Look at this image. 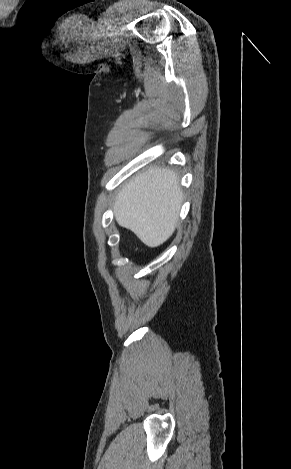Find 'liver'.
<instances>
[{
    "label": "liver",
    "mask_w": 291,
    "mask_h": 469,
    "mask_svg": "<svg viewBox=\"0 0 291 469\" xmlns=\"http://www.w3.org/2000/svg\"><path fill=\"white\" fill-rule=\"evenodd\" d=\"M182 200L177 175L166 168H152L120 190L114 203L115 219L145 245L155 248L173 234Z\"/></svg>",
    "instance_id": "obj_1"
}]
</instances>
